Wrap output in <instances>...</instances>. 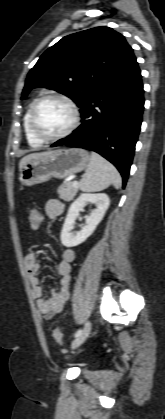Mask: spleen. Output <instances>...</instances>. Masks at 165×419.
<instances>
[{
	"instance_id": "obj_1",
	"label": "spleen",
	"mask_w": 165,
	"mask_h": 419,
	"mask_svg": "<svg viewBox=\"0 0 165 419\" xmlns=\"http://www.w3.org/2000/svg\"><path fill=\"white\" fill-rule=\"evenodd\" d=\"M113 185L121 187V177L117 169L99 154L92 152L90 162L80 181V189L84 192L102 191Z\"/></svg>"
}]
</instances>
